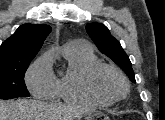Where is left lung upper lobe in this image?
Instances as JSON below:
<instances>
[{
  "mask_svg": "<svg viewBox=\"0 0 165 120\" xmlns=\"http://www.w3.org/2000/svg\"><path fill=\"white\" fill-rule=\"evenodd\" d=\"M86 30L98 49L111 58L135 83V76L129 57L124 52L120 42L110 34L108 28L101 23H90L86 25Z\"/></svg>",
  "mask_w": 165,
  "mask_h": 120,
  "instance_id": "5c2ea615",
  "label": "left lung upper lobe"
}]
</instances>
